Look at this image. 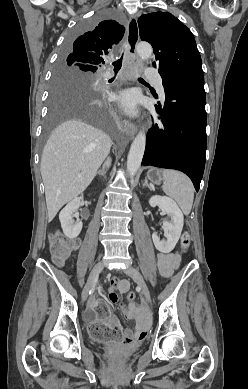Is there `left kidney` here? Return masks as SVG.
Segmentation results:
<instances>
[{
  "instance_id": "5707ae66",
  "label": "left kidney",
  "mask_w": 248,
  "mask_h": 389,
  "mask_svg": "<svg viewBox=\"0 0 248 389\" xmlns=\"http://www.w3.org/2000/svg\"><path fill=\"white\" fill-rule=\"evenodd\" d=\"M149 205L151 207L158 206L163 214H167L171 221H163V226L165 228L166 241L160 240L157 233L152 234L153 243L157 250L163 253L171 252L179 238L184 225V216L177 206L176 202L166 196H153L149 200Z\"/></svg>"
}]
</instances>
